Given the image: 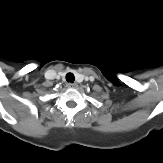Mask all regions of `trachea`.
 Instances as JSON below:
<instances>
[{"mask_svg": "<svg viewBox=\"0 0 163 163\" xmlns=\"http://www.w3.org/2000/svg\"><path fill=\"white\" fill-rule=\"evenodd\" d=\"M74 80H75V77H74V75L72 73H67L66 74V81L67 82L73 83Z\"/></svg>", "mask_w": 163, "mask_h": 163, "instance_id": "3493384b", "label": "trachea"}]
</instances>
